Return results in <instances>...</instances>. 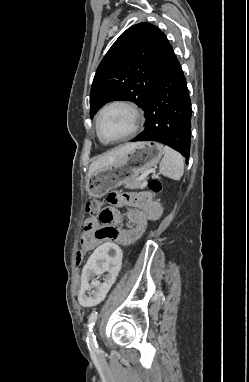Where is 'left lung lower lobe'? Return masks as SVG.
Wrapping results in <instances>:
<instances>
[{"label":"left lung lower lobe","instance_id":"1","mask_svg":"<svg viewBox=\"0 0 249 382\" xmlns=\"http://www.w3.org/2000/svg\"><path fill=\"white\" fill-rule=\"evenodd\" d=\"M191 112L186 80L175 56L145 111L144 131L131 141L160 142L177 150L188 159Z\"/></svg>","mask_w":249,"mask_h":382}]
</instances>
